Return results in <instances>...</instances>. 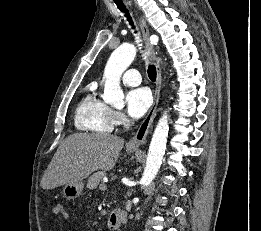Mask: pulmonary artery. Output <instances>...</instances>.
<instances>
[{"mask_svg": "<svg viewBox=\"0 0 261 231\" xmlns=\"http://www.w3.org/2000/svg\"><path fill=\"white\" fill-rule=\"evenodd\" d=\"M125 85L138 86L141 83V76L136 69H128L122 78Z\"/></svg>", "mask_w": 261, "mask_h": 231, "instance_id": "obj_1", "label": "pulmonary artery"}]
</instances>
